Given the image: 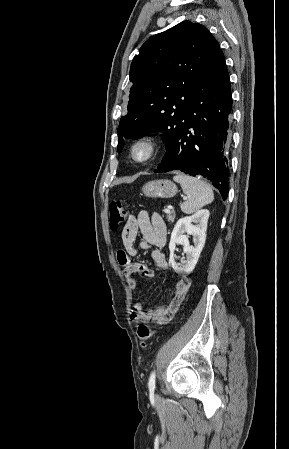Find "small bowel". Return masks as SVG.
<instances>
[{"label":"small bowel","mask_w":289,"mask_h":449,"mask_svg":"<svg viewBox=\"0 0 289 449\" xmlns=\"http://www.w3.org/2000/svg\"><path fill=\"white\" fill-rule=\"evenodd\" d=\"M140 233L141 240L136 246V237ZM121 240L123 248L117 252V260L123 268V274L132 288H136L135 275L139 274L147 278L154 276V271L144 263L133 260L139 250L148 251L154 264L163 270L168 269L169 264L163 252L167 240L166 225L161 217L141 211L136 217H131L125 225ZM190 287V280L181 277L176 281L174 294L169 303L164 307L145 311L140 302L132 309L131 318L137 323L154 322L162 325L169 322L178 311Z\"/></svg>","instance_id":"c3829d8e"}]
</instances>
